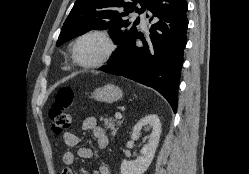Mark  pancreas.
I'll return each instance as SVG.
<instances>
[{
	"label": "pancreas",
	"mask_w": 249,
	"mask_h": 174,
	"mask_svg": "<svg viewBox=\"0 0 249 174\" xmlns=\"http://www.w3.org/2000/svg\"><path fill=\"white\" fill-rule=\"evenodd\" d=\"M100 121H103V126L105 129H110L111 130V136L114 137L116 135L117 132V128L116 126L121 125L120 121H116L115 119L109 117V118H100Z\"/></svg>",
	"instance_id": "obj_1"
}]
</instances>
